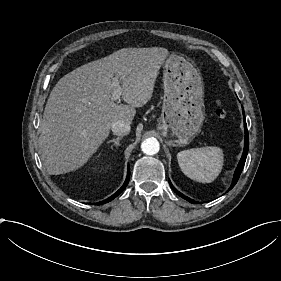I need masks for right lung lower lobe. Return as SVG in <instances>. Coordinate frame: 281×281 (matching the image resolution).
Masks as SVG:
<instances>
[{
  "mask_svg": "<svg viewBox=\"0 0 281 281\" xmlns=\"http://www.w3.org/2000/svg\"><path fill=\"white\" fill-rule=\"evenodd\" d=\"M129 178H130V168L128 167V173H127V178L123 184V186L112 196H110L109 198H107L104 201L98 202V203H93L94 205H101V204H105L107 202H110L111 200H113L115 197H117L127 186L128 182H129Z\"/></svg>",
  "mask_w": 281,
  "mask_h": 281,
  "instance_id": "obj_1",
  "label": "right lung lower lobe"
}]
</instances>
